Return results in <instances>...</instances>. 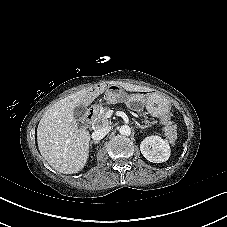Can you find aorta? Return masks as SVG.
<instances>
[{
    "label": "aorta",
    "instance_id": "obj_1",
    "mask_svg": "<svg viewBox=\"0 0 227 227\" xmlns=\"http://www.w3.org/2000/svg\"><path fill=\"white\" fill-rule=\"evenodd\" d=\"M119 132L121 135L129 136L131 134V128L128 125H123L120 127Z\"/></svg>",
    "mask_w": 227,
    "mask_h": 227
}]
</instances>
